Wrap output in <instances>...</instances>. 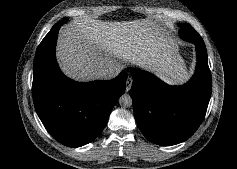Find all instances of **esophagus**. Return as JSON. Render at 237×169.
<instances>
[{"mask_svg":"<svg viewBox=\"0 0 237 169\" xmlns=\"http://www.w3.org/2000/svg\"><path fill=\"white\" fill-rule=\"evenodd\" d=\"M132 82H133V80H132V78L131 77H128L127 78V86H126V91L128 92L129 90H130V87H131V85H132Z\"/></svg>","mask_w":237,"mask_h":169,"instance_id":"obj_1","label":"esophagus"}]
</instances>
